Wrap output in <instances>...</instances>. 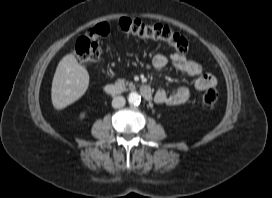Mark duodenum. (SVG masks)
I'll return each mask as SVG.
<instances>
[{
    "mask_svg": "<svg viewBox=\"0 0 272 198\" xmlns=\"http://www.w3.org/2000/svg\"><path fill=\"white\" fill-rule=\"evenodd\" d=\"M139 91L145 100L151 101L153 99L152 90L148 85H140ZM104 92L107 95L116 96L125 93L126 87L120 84L108 83L104 86Z\"/></svg>",
    "mask_w": 272,
    "mask_h": 198,
    "instance_id": "1",
    "label": "duodenum"
}]
</instances>
